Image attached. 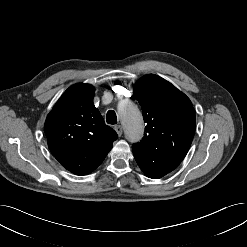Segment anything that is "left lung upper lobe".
<instances>
[{"instance_id": "left-lung-upper-lobe-1", "label": "left lung upper lobe", "mask_w": 247, "mask_h": 247, "mask_svg": "<svg viewBox=\"0 0 247 247\" xmlns=\"http://www.w3.org/2000/svg\"><path fill=\"white\" fill-rule=\"evenodd\" d=\"M133 89L147 124L142 140L132 145L137 164L141 170L163 164L177 167L190 148L196 127L190 99L154 74L139 79Z\"/></svg>"}]
</instances>
